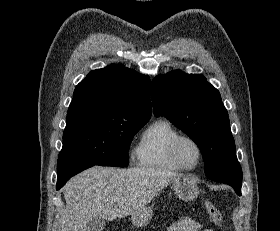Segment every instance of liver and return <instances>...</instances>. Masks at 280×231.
Returning <instances> with one entry per match:
<instances>
[{"label": "liver", "instance_id": "1", "mask_svg": "<svg viewBox=\"0 0 280 231\" xmlns=\"http://www.w3.org/2000/svg\"><path fill=\"white\" fill-rule=\"evenodd\" d=\"M183 173L153 167H90L67 181L58 231H85L92 217L140 215L164 187Z\"/></svg>", "mask_w": 280, "mask_h": 231}]
</instances>
